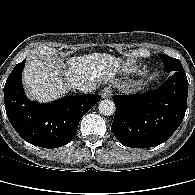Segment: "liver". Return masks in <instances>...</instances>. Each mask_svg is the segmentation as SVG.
I'll return each instance as SVG.
<instances>
[{
	"label": "liver",
	"instance_id": "obj_1",
	"mask_svg": "<svg viewBox=\"0 0 195 195\" xmlns=\"http://www.w3.org/2000/svg\"><path fill=\"white\" fill-rule=\"evenodd\" d=\"M121 63L120 58L110 54L93 53L70 58L62 70L46 60L32 58L25 66L23 84L31 99L48 102L85 82L95 85L113 82L119 86L113 78L123 68Z\"/></svg>",
	"mask_w": 195,
	"mask_h": 195
}]
</instances>
